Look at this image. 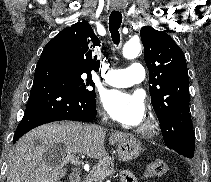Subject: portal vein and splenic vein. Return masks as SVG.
I'll return each mask as SVG.
<instances>
[{
	"mask_svg": "<svg viewBox=\"0 0 211 182\" xmlns=\"http://www.w3.org/2000/svg\"><path fill=\"white\" fill-rule=\"evenodd\" d=\"M65 161L66 162H71L72 164L74 165H79L80 164V161L77 157H75L73 154L71 153H68L66 156H65ZM114 170H109L106 174L109 175V174H112Z\"/></svg>",
	"mask_w": 211,
	"mask_h": 182,
	"instance_id": "18ae733b",
	"label": "portal vein and splenic vein"
}]
</instances>
